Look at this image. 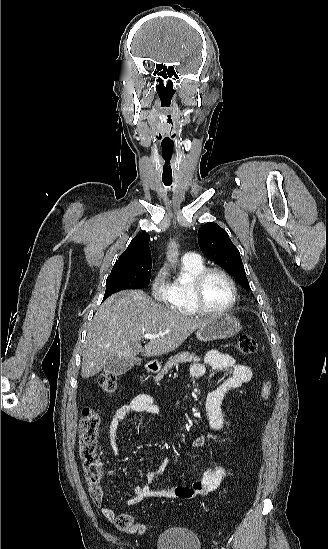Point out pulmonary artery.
I'll return each mask as SVG.
<instances>
[{
  "instance_id": "e3ab8cb5",
  "label": "pulmonary artery",
  "mask_w": 328,
  "mask_h": 549,
  "mask_svg": "<svg viewBox=\"0 0 328 549\" xmlns=\"http://www.w3.org/2000/svg\"><path fill=\"white\" fill-rule=\"evenodd\" d=\"M194 256H195V254L192 253V252H185V253H183L182 258H183V259H191V258H193Z\"/></svg>"
}]
</instances>
